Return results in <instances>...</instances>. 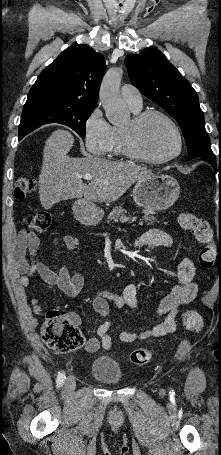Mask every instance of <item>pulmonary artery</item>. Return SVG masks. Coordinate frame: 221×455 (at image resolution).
<instances>
[{
	"label": "pulmonary artery",
	"mask_w": 221,
	"mask_h": 455,
	"mask_svg": "<svg viewBox=\"0 0 221 455\" xmlns=\"http://www.w3.org/2000/svg\"><path fill=\"white\" fill-rule=\"evenodd\" d=\"M121 96L124 101L133 108L142 106V96L140 91L131 84H125L121 88Z\"/></svg>",
	"instance_id": "obj_1"
}]
</instances>
